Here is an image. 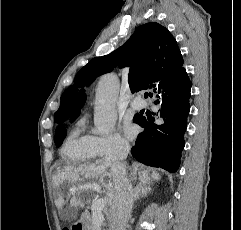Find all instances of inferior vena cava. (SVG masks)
Returning a JSON list of instances; mask_svg holds the SVG:
<instances>
[{"label": "inferior vena cava", "instance_id": "1", "mask_svg": "<svg viewBox=\"0 0 241 230\" xmlns=\"http://www.w3.org/2000/svg\"><path fill=\"white\" fill-rule=\"evenodd\" d=\"M129 149V144H122L115 152L104 157V163L110 167L114 184V198L108 217L109 230H126L131 216L134 194L122 163Z\"/></svg>", "mask_w": 241, "mask_h": 230}]
</instances>
